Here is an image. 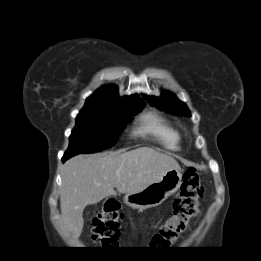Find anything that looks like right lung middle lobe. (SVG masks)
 Instances as JSON below:
<instances>
[{
  "instance_id": "1",
  "label": "right lung middle lobe",
  "mask_w": 261,
  "mask_h": 261,
  "mask_svg": "<svg viewBox=\"0 0 261 261\" xmlns=\"http://www.w3.org/2000/svg\"><path fill=\"white\" fill-rule=\"evenodd\" d=\"M143 106L144 101L87 100L64 155L95 153L113 146L127 121Z\"/></svg>"
}]
</instances>
